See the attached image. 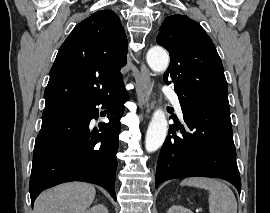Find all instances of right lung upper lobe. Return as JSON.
<instances>
[{"label":"right lung upper lobe","instance_id":"obj_1","mask_svg":"<svg viewBox=\"0 0 270 213\" xmlns=\"http://www.w3.org/2000/svg\"><path fill=\"white\" fill-rule=\"evenodd\" d=\"M126 53L119 17L112 10L93 13L61 45L44 92L45 107L83 103L121 87Z\"/></svg>","mask_w":270,"mask_h":213}]
</instances>
